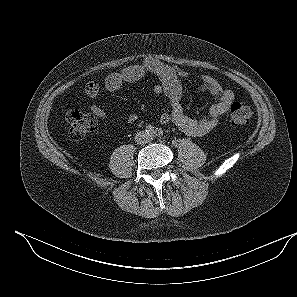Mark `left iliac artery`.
Returning a JSON list of instances; mask_svg holds the SVG:
<instances>
[{"label": "left iliac artery", "mask_w": 297, "mask_h": 297, "mask_svg": "<svg viewBox=\"0 0 297 297\" xmlns=\"http://www.w3.org/2000/svg\"><path fill=\"white\" fill-rule=\"evenodd\" d=\"M154 134L157 136V137H160L163 135V130L161 128H156Z\"/></svg>", "instance_id": "1"}]
</instances>
